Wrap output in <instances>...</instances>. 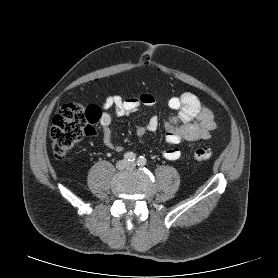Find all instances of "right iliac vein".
<instances>
[{
  "instance_id": "1",
  "label": "right iliac vein",
  "mask_w": 278,
  "mask_h": 278,
  "mask_svg": "<svg viewBox=\"0 0 278 278\" xmlns=\"http://www.w3.org/2000/svg\"><path fill=\"white\" fill-rule=\"evenodd\" d=\"M127 167H128V164H127V162H126L125 160H120V161H118L117 164H116V168H117L118 170H124V169L127 168Z\"/></svg>"
}]
</instances>
